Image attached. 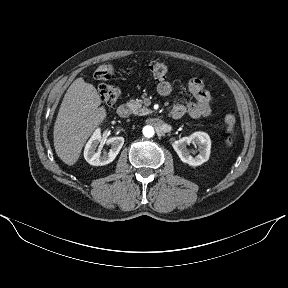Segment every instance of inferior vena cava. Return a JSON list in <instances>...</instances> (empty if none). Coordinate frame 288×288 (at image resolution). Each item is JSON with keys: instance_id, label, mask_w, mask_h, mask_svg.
I'll use <instances>...</instances> for the list:
<instances>
[{"instance_id": "inferior-vena-cava-1", "label": "inferior vena cava", "mask_w": 288, "mask_h": 288, "mask_svg": "<svg viewBox=\"0 0 288 288\" xmlns=\"http://www.w3.org/2000/svg\"><path fill=\"white\" fill-rule=\"evenodd\" d=\"M149 126L157 129L156 135L158 137L168 136L170 134V128L165 123L158 121L157 119H151L149 121Z\"/></svg>"}]
</instances>
